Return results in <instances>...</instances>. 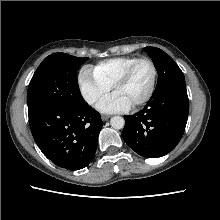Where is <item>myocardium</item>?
Segmentation results:
<instances>
[{"label":"myocardium","mask_w":220,"mask_h":220,"mask_svg":"<svg viewBox=\"0 0 220 220\" xmlns=\"http://www.w3.org/2000/svg\"><path fill=\"white\" fill-rule=\"evenodd\" d=\"M142 62H148L151 65L152 71H153L152 82H151L150 89L145 95V97L142 98L140 101H138L136 104H134L132 108H139L145 105L153 97L155 90H156L157 80H158V69H157L156 63L149 57L138 58L124 71V73L116 80V82L113 85V91H115L118 87L125 84L132 76L136 67Z\"/></svg>","instance_id":"f54148a6"}]
</instances>
